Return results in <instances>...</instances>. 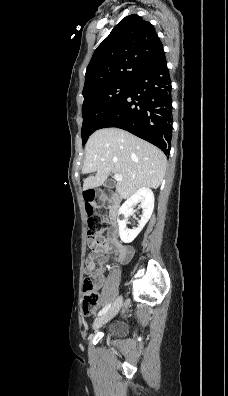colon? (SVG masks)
I'll list each match as a JSON object with an SVG mask.
<instances>
[{
    "mask_svg": "<svg viewBox=\"0 0 228 396\" xmlns=\"http://www.w3.org/2000/svg\"><path fill=\"white\" fill-rule=\"evenodd\" d=\"M85 210L88 215L87 237L91 242H98L106 229V222L96 215V209L107 204V196L94 190H89L84 195ZM99 294L96 282L92 277H87L83 282L82 312L90 316L98 309Z\"/></svg>",
    "mask_w": 228,
    "mask_h": 396,
    "instance_id": "colon-1",
    "label": "colon"
}]
</instances>
